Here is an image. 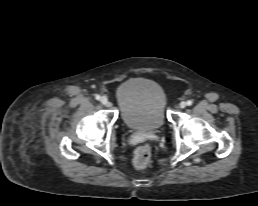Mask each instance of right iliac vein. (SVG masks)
<instances>
[{
	"label": "right iliac vein",
	"instance_id": "right-iliac-vein-1",
	"mask_svg": "<svg viewBox=\"0 0 258 206\" xmlns=\"http://www.w3.org/2000/svg\"><path fill=\"white\" fill-rule=\"evenodd\" d=\"M100 102L103 105H108L109 104L108 98L106 96H102L101 99H100Z\"/></svg>",
	"mask_w": 258,
	"mask_h": 206
}]
</instances>
